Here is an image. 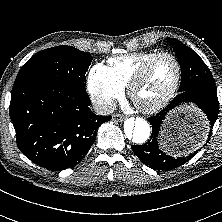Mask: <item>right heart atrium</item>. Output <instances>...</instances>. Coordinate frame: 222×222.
I'll list each match as a JSON object with an SVG mask.
<instances>
[{
    "instance_id": "obj_1",
    "label": "right heart atrium",
    "mask_w": 222,
    "mask_h": 222,
    "mask_svg": "<svg viewBox=\"0 0 222 222\" xmlns=\"http://www.w3.org/2000/svg\"><path fill=\"white\" fill-rule=\"evenodd\" d=\"M87 85L93 103L104 113L109 112L115 101L124 95V88L112 78L108 68L101 64L91 68Z\"/></svg>"
}]
</instances>
